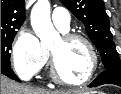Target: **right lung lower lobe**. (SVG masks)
<instances>
[{"label":"right lung lower lobe","instance_id":"right-lung-lower-lobe-1","mask_svg":"<svg viewBox=\"0 0 121 94\" xmlns=\"http://www.w3.org/2000/svg\"><path fill=\"white\" fill-rule=\"evenodd\" d=\"M1 74L20 82V80L17 78V76L14 74L11 68L1 67Z\"/></svg>","mask_w":121,"mask_h":94}]
</instances>
